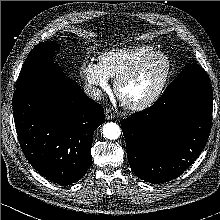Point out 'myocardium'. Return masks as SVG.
<instances>
[{
	"label": "myocardium",
	"mask_w": 220,
	"mask_h": 220,
	"mask_svg": "<svg viewBox=\"0 0 220 220\" xmlns=\"http://www.w3.org/2000/svg\"><path fill=\"white\" fill-rule=\"evenodd\" d=\"M155 57H162L166 63L165 70L154 88L144 98L137 101H128L124 99L123 87L139 73L142 72L146 64ZM173 70V63L170 57L163 51L155 50L145 55L134 66L121 74L115 81V91L123 104L132 110H143L153 105L164 92Z\"/></svg>",
	"instance_id": "f54148a6"
}]
</instances>
